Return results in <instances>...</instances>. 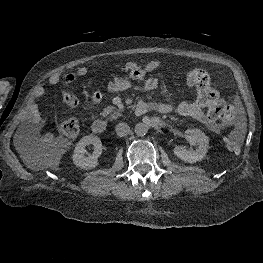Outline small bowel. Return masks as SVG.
Listing matches in <instances>:
<instances>
[{"label":"small bowel","instance_id":"small-bowel-1","mask_svg":"<svg viewBox=\"0 0 263 263\" xmlns=\"http://www.w3.org/2000/svg\"><path fill=\"white\" fill-rule=\"evenodd\" d=\"M162 63L158 60H152L145 64H137L135 62H127L120 64L119 68L125 73V77H114L108 84L107 88L110 91H125L134 89L139 91H151L157 88L159 79L156 76H150L153 72L159 70ZM89 70L87 67H79L73 73L65 76L53 74L49 77L48 82L50 85H58L63 83L62 99L68 106L77 108L80 106V100L70 91L69 86L79 78H84L88 75ZM85 87L88 90L89 98L92 103L98 105L103 100V93L100 89L94 87L92 77L88 78L85 82ZM45 90L43 87H38L34 102L31 109L30 132L38 134L40 130L39 113L37 101L44 95ZM146 103L150 109L155 108L161 113H169L174 107L167 102ZM204 105L199 102L198 98L193 102L182 101L175 107L176 112L181 116L191 117L203 123L208 129L213 132H218L220 127L216 120L210 118L203 110ZM41 141L45 144H53L55 137L52 134H45L41 137Z\"/></svg>","mask_w":263,"mask_h":263}]
</instances>
